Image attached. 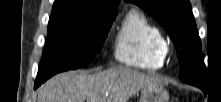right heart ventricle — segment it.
Returning <instances> with one entry per match:
<instances>
[{
    "mask_svg": "<svg viewBox=\"0 0 221 102\" xmlns=\"http://www.w3.org/2000/svg\"><path fill=\"white\" fill-rule=\"evenodd\" d=\"M165 37L160 28L141 10H129L114 39V57L124 65L157 70L165 62Z\"/></svg>",
    "mask_w": 221,
    "mask_h": 102,
    "instance_id": "1",
    "label": "right heart ventricle"
}]
</instances>
